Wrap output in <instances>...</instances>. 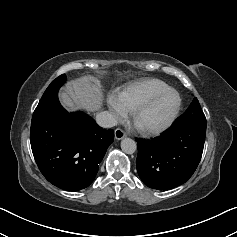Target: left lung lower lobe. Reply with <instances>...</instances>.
I'll use <instances>...</instances> for the list:
<instances>
[{
    "label": "left lung lower lobe",
    "mask_w": 237,
    "mask_h": 237,
    "mask_svg": "<svg viewBox=\"0 0 237 237\" xmlns=\"http://www.w3.org/2000/svg\"><path fill=\"white\" fill-rule=\"evenodd\" d=\"M206 127L175 125L152 140L138 142L137 171L148 187L167 190L185 183L196 170Z\"/></svg>",
    "instance_id": "left-lung-lower-lobe-1"
}]
</instances>
